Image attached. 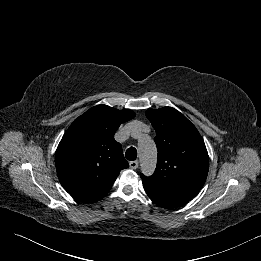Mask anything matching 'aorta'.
<instances>
[{
  "mask_svg": "<svg viewBox=\"0 0 261 261\" xmlns=\"http://www.w3.org/2000/svg\"><path fill=\"white\" fill-rule=\"evenodd\" d=\"M138 155L142 172L147 176L152 175L156 167L157 149L149 136L139 141Z\"/></svg>",
  "mask_w": 261,
  "mask_h": 261,
  "instance_id": "762f6f07",
  "label": "aorta"
}]
</instances>
